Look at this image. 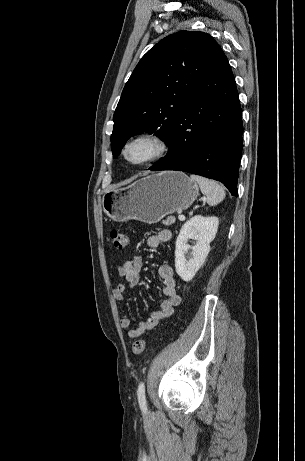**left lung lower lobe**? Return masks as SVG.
<instances>
[{"label":"left lung lower lobe","mask_w":305,"mask_h":461,"mask_svg":"<svg viewBox=\"0 0 305 461\" xmlns=\"http://www.w3.org/2000/svg\"><path fill=\"white\" fill-rule=\"evenodd\" d=\"M242 113L235 79L222 51L190 93L167 142L168 153L149 170H179L222 182L237 196Z\"/></svg>","instance_id":"0a47b994"}]
</instances>
